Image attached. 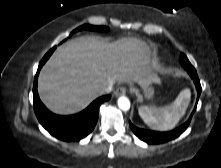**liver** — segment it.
Instances as JSON below:
<instances>
[{
  "label": "liver",
  "mask_w": 221,
  "mask_h": 168,
  "mask_svg": "<svg viewBox=\"0 0 221 168\" xmlns=\"http://www.w3.org/2000/svg\"><path fill=\"white\" fill-rule=\"evenodd\" d=\"M152 79L149 48L141 40L104 43L82 37L57 48L40 72L38 92L48 109L68 115L84 109L109 85Z\"/></svg>",
  "instance_id": "6515ba94"
}]
</instances>
